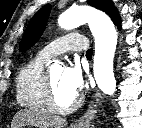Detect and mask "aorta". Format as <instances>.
I'll use <instances>...</instances> for the list:
<instances>
[{"label": "aorta", "mask_w": 142, "mask_h": 128, "mask_svg": "<svg viewBox=\"0 0 142 128\" xmlns=\"http://www.w3.org/2000/svg\"><path fill=\"white\" fill-rule=\"evenodd\" d=\"M86 23L95 39L93 72L96 83L103 93L113 95L116 91L113 59L118 36L111 19L88 7L70 8L58 18L59 26L66 30Z\"/></svg>", "instance_id": "1"}]
</instances>
